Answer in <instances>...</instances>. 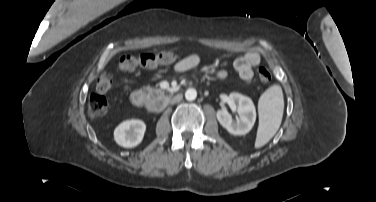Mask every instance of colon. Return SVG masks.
Wrapping results in <instances>:
<instances>
[{
  "label": "colon",
  "mask_w": 376,
  "mask_h": 202,
  "mask_svg": "<svg viewBox=\"0 0 376 202\" xmlns=\"http://www.w3.org/2000/svg\"><path fill=\"white\" fill-rule=\"evenodd\" d=\"M176 51L168 50L160 53H146L140 56L123 55L116 66L121 72H130L137 68H153L158 65L171 64L178 60ZM258 78L262 83H268L271 79L270 72L265 67L258 69ZM113 86V78L110 74H101L96 83V93L90 95L87 105V113L91 118L99 117L106 113L108 102L103 96Z\"/></svg>",
  "instance_id": "1"
}]
</instances>
